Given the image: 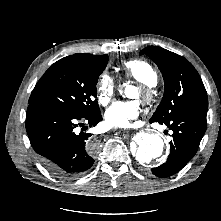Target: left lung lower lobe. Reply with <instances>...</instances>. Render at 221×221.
Here are the masks:
<instances>
[{"label":"left lung lower lobe","mask_w":221,"mask_h":221,"mask_svg":"<svg viewBox=\"0 0 221 221\" xmlns=\"http://www.w3.org/2000/svg\"><path fill=\"white\" fill-rule=\"evenodd\" d=\"M163 123L173 131V140L167 161L152 168L153 174L161 178L178 173L192 159L207 127L205 121L188 115H179Z\"/></svg>","instance_id":"1"}]
</instances>
